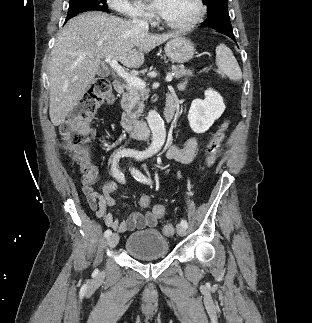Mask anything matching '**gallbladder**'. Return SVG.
Returning a JSON list of instances; mask_svg holds the SVG:
<instances>
[{"mask_svg":"<svg viewBox=\"0 0 312 323\" xmlns=\"http://www.w3.org/2000/svg\"><path fill=\"white\" fill-rule=\"evenodd\" d=\"M109 74H110L109 70H104V68H102V70H98L97 72V76H101V78H107Z\"/></svg>","mask_w":312,"mask_h":323,"instance_id":"1","label":"gallbladder"}]
</instances>
